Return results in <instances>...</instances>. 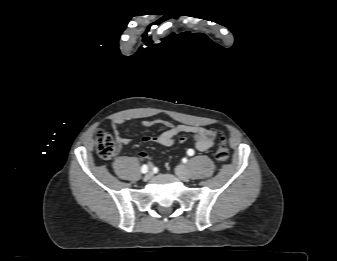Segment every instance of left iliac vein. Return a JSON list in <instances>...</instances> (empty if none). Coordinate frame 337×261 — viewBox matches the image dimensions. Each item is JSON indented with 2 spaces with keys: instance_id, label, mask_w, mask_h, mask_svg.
I'll return each mask as SVG.
<instances>
[{
  "instance_id": "1",
  "label": "left iliac vein",
  "mask_w": 337,
  "mask_h": 261,
  "mask_svg": "<svg viewBox=\"0 0 337 261\" xmlns=\"http://www.w3.org/2000/svg\"><path fill=\"white\" fill-rule=\"evenodd\" d=\"M175 173L181 180H184V181L188 180L190 177L188 168L183 165L177 166L175 169Z\"/></svg>"
}]
</instances>
